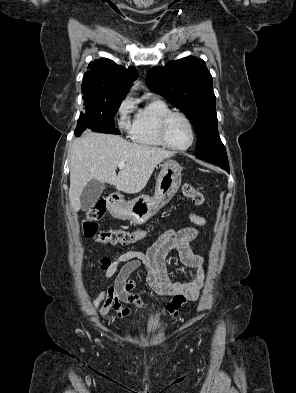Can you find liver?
<instances>
[{
	"instance_id": "liver-1",
	"label": "liver",
	"mask_w": 296,
	"mask_h": 393,
	"mask_svg": "<svg viewBox=\"0 0 296 393\" xmlns=\"http://www.w3.org/2000/svg\"><path fill=\"white\" fill-rule=\"evenodd\" d=\"M71 206L78 211L80 195L91 180L114 185L118 191L138 193L148 183L155 167L173 152L126 141L120 136L86 131L70 148ZM125 166L118 175L119 162Z\"/></svg>"
}]
</instances>
